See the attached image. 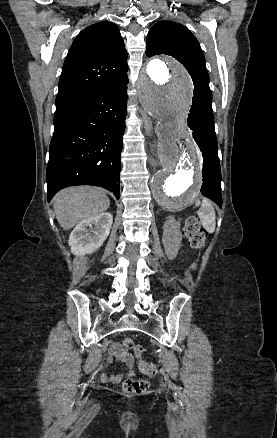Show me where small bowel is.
Returning a JSON list of instances; mask_svg holds the SVG:
<instances>
[{"mask_svg":"<svg viewBox=\"0 0 277 438\" xmlns=\"http://www.w3.org/2000/svg\"><path fill=\"white\" fill-rule=\"evenodd\" d=\"M114 356L117 360L121 361L125 367L126 370L123 374H115L111 376L112 381H119L123 376H134L135 366H134V359L133 357L119 344H117L114 347ZM112 359H108V362H105V365H108Z\"/></svg>","mask_w":277,"mask_h":438,"instance_id":"obj_1","label":"small bowel"}]
</instances>
